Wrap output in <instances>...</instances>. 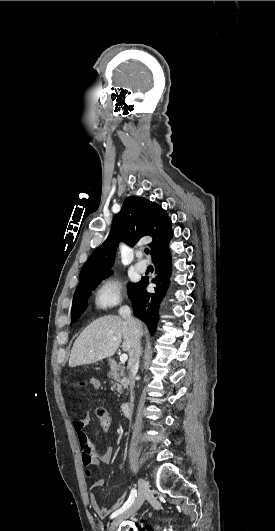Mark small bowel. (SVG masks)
<instances>
[{
  "label": "small bowel",
  "mask_w": 275,
  "mask_h": 531,
  "mask_svg": "<svg viewBox=\"0 0 275 531\" xmlns=\"http://www.w3.org/2000/svg\"><path fill=\"white\" fill-rule=\"evenodd\" d=\"M98 377L96 374L91 373L89 375H81L80 377L75 378V383L80 384L83 390H89L91 392H97L100 390L101 385L97 382ZM88 416H81L73 421V428L77 434L78 442L81 448L84 450L86 447H92V443L85 431V427L88 423ZM113 451L111 447H106L100 452H98L93 459L90 461V464H109L112 459ZM105 484L103 478L96 479L90 487L89 503L91 508L94 510L99 519H105L108 515L117 510L124 502L125 495L119 496L115 499L109 506L102 507L95 495V491Z\"/></svg>",
  "instance_id": "c3829d8e"
}]
</instances>
